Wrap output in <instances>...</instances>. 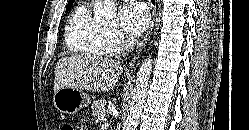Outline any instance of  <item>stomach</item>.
I'll use <instances>...</instances> for the list:
<instances>
[{
    "instance_id": "obj_1",
    "label": "stomach",
    "mask_w": 249,
    "mask_h": 130,
    "mask_svg": "<svg viewBox=\"0 0 249 130\" xmlns=\"http://www.w3.org/2000/svg\"><path fill=\"white\" fill-rule=\"evenodd\" d=\"M90 102V96L79 89L65 87L54 94L55 107L65 114H74L87 107Z\"/></svg>"
}]
</instances>
